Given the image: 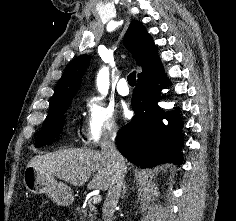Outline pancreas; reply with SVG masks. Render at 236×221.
<instances>
[{
	"label": "pancreas",
	"instance_id": "pancreas-1",
	"mask_svg": "<svg viewBox=\"0 0 236 221\" xmlns=\"http://www.w3.org/2000/svg\"><path fill=\"white\" fill-rule=\"evenodd\" d=\"M76 212L80 216V221H95L97 219L96 214H97V209L94 205L89 204L88 207L82 208V207H77Z\"/></svg>",
	"mask_w": 236,
	"mask_h": 221
}]
</instances>
